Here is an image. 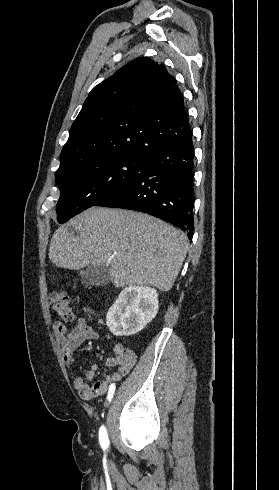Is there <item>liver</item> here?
Masks as SVG:
<instances>
[{"label":"liver","mask_w":279,"mask_h":490,"mask_svg":"<svg viewBox=\"0 0 279 490\" xmlns=\"http://www.w3.org/2000/svg\"><path fill=\"white\" fill-rule=\"evenodd\" d=\"M69 228L79 232L78 238ZM188 246L186 234L163 220L93 206L54 232L48 256L57 268L67 270L107 264L115 288L136 284L168 292Z\"/></svg>","instance_id":"liver-1"}]
</instances>
